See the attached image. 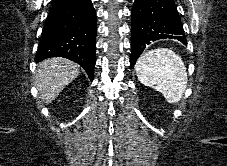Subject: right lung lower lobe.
Masks as SVG:
<instances>
[{"instance_id":"obj_1","label":"right lung lower lobe","mask_w":227,"mask_h":166,"mask_svg":"<svg viewBox=\"0 0 227 166\" xmlns=\"http://www.w3.org/2000/svg\"><path fill=\"white\" fill-rule=\"evenodd\" d=\"M96 26L91 0H53L35 61L65 57L81 65L93 79Z\"/></svg>"}]
</instances>
